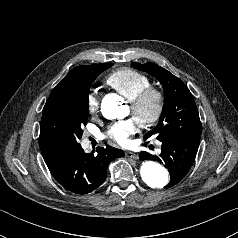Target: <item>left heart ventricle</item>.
Wrapping results in <instances>:
<instances>
[{
	"label": "left heart ventricle",
	"mask_w": 238,
	"mask_h": 238,
	"mask_svg": "<svg viewBox=\"0 0 238 238\" xmlns=\"http://www.w3.org/2000/svg\"><path fill=\"white\" fill-rule=\"evenodd\" d=\"M131 110V109H130ZM150 110V107L149 108H147V110H146V112H148Z\"/></svg>",
	"instance_id": "left-heart-ventricle-1"
}]
</instances>
